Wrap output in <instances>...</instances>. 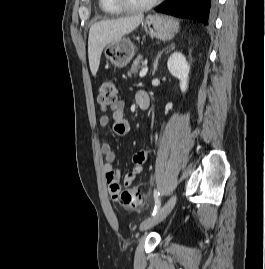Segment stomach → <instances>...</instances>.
I'll list each match as a JSON object with an SVG mask.
<instances>
[{
  "label": "stomach",
  "instance_id": "obj_1",
  "mask_svg": "<svg viewBox=\"0 0 265 269\" xmlns=\"http://www.w3.org/2000/svg\"><path fill=\"white\" fill-rule=\"evenodd\" d=\"M146 33L160 40H170L178 32L179 25L171 17L164 15L148 16L142 24ZM106 59L116 67L126 66L135 54L134 45L126 38L110 43L104 50Z\"/></svg>",
  "mask_w": 265,
  "mask_h": 269
}]
</instances>
